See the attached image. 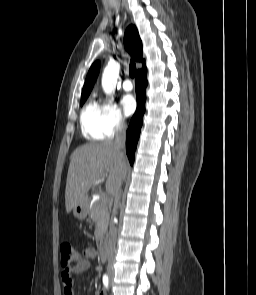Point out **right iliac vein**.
<instances>
[{"mask_svg":"<svg viewBox=\"0 0 256 295\" xmlns=\"http://www.w3.org/2000/svg\"><path fill=\"white\" fill-rule=\"evenodd\" d=\"M109 276H110V278H112V277H113V274H112V273H110V274H109Z\"/></svg>","mask_w":256,"mask_h":295,"instance_id":"1","label":"right iliac vein"}]
</instances>
